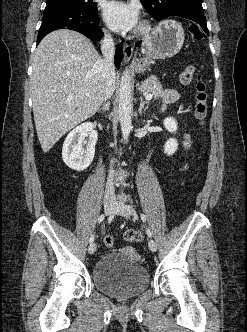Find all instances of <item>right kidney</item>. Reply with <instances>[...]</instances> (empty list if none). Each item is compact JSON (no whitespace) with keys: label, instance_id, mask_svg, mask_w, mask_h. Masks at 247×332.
I'll return each mask as SVG.
<instances>
[{"label":"right kidney","instance_id":"obj_1","mask_svg":"<svg viewBox=\"0 0 247 332\" xmlns=\"http://www.w3.org/2000/svg\"><path fill=\"white\" fill-rule=\"evenodd\" d=\"M94 127L93 123L85 122L74 128L67 135L62 148V158L69 168L76 171H83L93 161L98 138ZM85 137H89L86 148H84Z\"/></svg>","mask_w":247,"mask_h":332}]
</instances>
